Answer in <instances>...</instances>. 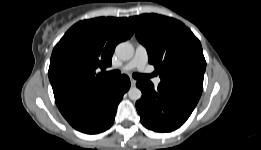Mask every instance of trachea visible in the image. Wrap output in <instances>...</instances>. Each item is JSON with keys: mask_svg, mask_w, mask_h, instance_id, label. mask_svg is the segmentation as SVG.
Instances as JSON below:
<instances>
[{"mask_svg": "<svg viewBox=\"0 0 261 150\" xmlns=\"http://www.w3.org/2000/svg\"><path fill=\"white\" fill-rule=\"evenodd\" d=\"M120 74H121V72L119 70H114V71H110V72L105 73V75L111 76V77H118ZM133 77L135 79H138V80H144V79H148L150 77V75L134 73Z\"/></svg>", "mask_w": 261, "mask_h": 150, "instance_id": "1", "label": "trachea"}]
</instances>
